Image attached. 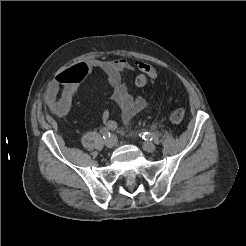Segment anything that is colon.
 <instances>
[{"label":"colon","instance_id":"5ec220e1","mask_svg":"<svg viewBox=\"0 0 246 246\" xmlns=\"http://www.w3.org/2000/svg\"><path fill=\"white\" fill-rule=\"evenodd\" d=\"M136 65L140 70V74H138L135 79V83L137 86L143 87L149 82V80H155L157 78V72L148 63L137 61ZM184 117L185 111L183 108H176L170 114V120L175 124L181 123Z\"/></svg>","mask_w":246,"mask_h":246}]
</instances>
